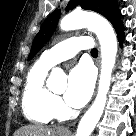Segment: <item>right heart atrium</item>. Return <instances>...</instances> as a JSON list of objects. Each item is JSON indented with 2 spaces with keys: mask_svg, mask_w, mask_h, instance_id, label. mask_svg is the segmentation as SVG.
Returning <instances> with one entry per match:
<instances>
[{
  "mask_svg": "<svg viewBox=\"0 0 136 136\" xmlns=\"http://www.w3.org/2000/svg\"><path fill=\"white\" fill-rule=\"evenodd\" d=\"M53 106H54V110L56 112V115H61L63 113L64 106H63V103L59 97H57V96L54 97Z\"/></svg>",
  "mask_w": 136,
  "mask_h": 136,
  "instance_id": "obj_1",
  "label": "right heart atrium"
}]
</instances>
